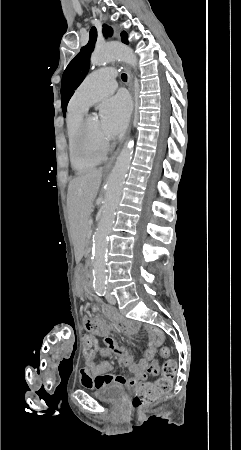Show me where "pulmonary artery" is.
I'll return each instance as SVG.
<instances>
[{
	"label": "pulmonary artery",
	"instance_id": "obj_1",
	"mask_svg": "<svg viewBox=\"0 0 241 450\" xmlns=\"http://www.w3.org/2000/svg\"><path fill=\"white\" fill-rule=\"evenodd\" d=\"M115 77L116 70L111 64H106L104 69H93V73L75 91L72 102L82 103L87 107L99 103L114 93L117 85Z\"/></svg>",
	"mask_w": 241,
	"mask_h": 450
}]
</instances>
